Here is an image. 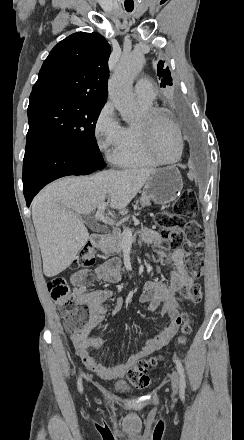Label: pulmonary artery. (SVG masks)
Segmentation results:
<instances>
[{"mask_svg": "<svg viewBox=\"0 0 244 440\" xmlns=\"http://www.w3.org/2000/svg\"><path fill=\"white\" fill-rule=\"evenodd\" d=\"M135 90L138 102L148 104L154 102V99L157 98V91L153 90L152 82H136Z\"/></svg>", "mask_w": 244, "mask_h": 440, "instance_id": "pulmonary-artery-1", "label": "pulmonary artery"}]
</instances>
